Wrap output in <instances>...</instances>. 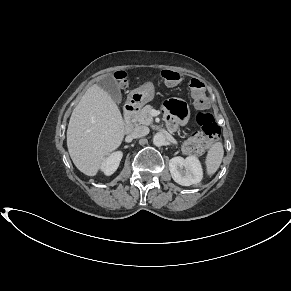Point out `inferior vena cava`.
Segmentation results:
<instances>
[{"instance_id":"inferior-vena-cava-1","label":"inferior vena cava","mask_w":291,"mask_h":291,"mask_svg":"<svg viewBox=\"0 0 291 291\" xmlns=\"http://www.w3.org/2000/svg\"><path fill=\"white\" fill-rule=\"evenodd\" d=\"M149 133V128L146 126H137L134 128V130L131 133V136L133 138H140L144 137Z\"/></svg>"}]
</instances>
